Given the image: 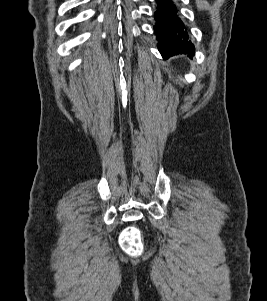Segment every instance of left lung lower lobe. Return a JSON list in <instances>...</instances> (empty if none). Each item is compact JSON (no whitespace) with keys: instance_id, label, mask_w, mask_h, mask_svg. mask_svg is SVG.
<instances>
[{"instance_id":"left-lung-lower-lobe-1","label":"left lung lower lobe","mask_w":267,"mask_h":301,"mask_svg":"<svg viewBox=\"0 0 267 301\" xmlns=\"http://www.w3.org/2000/svg\"><path fill=\"white\" fill-rule=\"evenodd\" d=\"M156 25L154 33L157 36L158 48L164 59L177 54H187L192 57L194 45L191 43L187 28L177 14L172 0H156Z\"/></svg>"}]
</instances>
